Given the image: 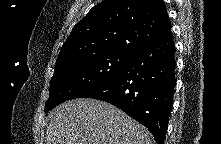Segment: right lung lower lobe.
<instances>
[{"instance_id": "98d812e1", "label": "right lung lower lobe", "mask_w": 221, "mask_h": 144, "mask_svg": "<svg viewBox=\"0 0 221 144\" xmlns=\"http://www.w3.org/2000/svg\"><path fill=\"white\" fill-rule=\"evenodd\" d=\"M175 50L170 33L135 53L112 78L81 98L108 102L147 127L163 144L175 87Z\"/></svg>"}]
</instances>
